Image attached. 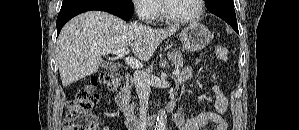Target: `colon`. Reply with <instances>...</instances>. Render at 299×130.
Returning <instances> with one entry per match:
<instances>
[{"label":"colon","mask_w":299,"mask_h":130,"mask_svg":"<svg viewBox=\"0 0 299 130\" xmlns=\"http://www.w3.org/2000/svg\"><path fill=\"white\" fill-rule=\"evenodd\" d=\"M216 56L221 61H226L229 51L224 46H217ZM122 82V75L116 71L103 72L92 77L89 84L80 88L74 99L67 103V113L63 123V130H108L92 114V108L97 104L99 96L95 89L98 85H104L110 89H116Z\"/></svg>","instance_id":"colon-1"}]
</instances>
